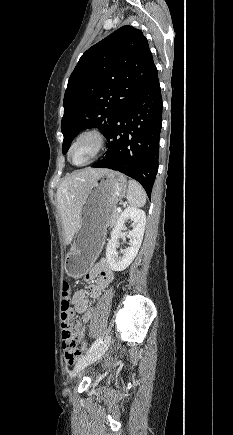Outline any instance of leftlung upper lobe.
<instances>
[{
	"label": "left lung upper lobe",
	"mask_w": 233,
	"mask_h": 435,
	"mask_svg": "<svg viewBox=\"0 0 233 435\" xmlns=\"http://www.w3.org/2000/svg\"><path fill=\"white\" fill-rule=\"evenodd\" d=\"M155 69L147 39L132 26L119 28L89 48L73 70L64 95L63 154L84 129L96 127L107 136Z\"/></svg>",
	"instance_id": "1"
}]
</instances>
